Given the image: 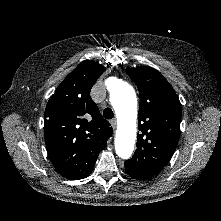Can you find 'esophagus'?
<instances>
[{
    "instance_id": "1",
    "label": "esophagus",
    "mask_w": 221,
    "mask_h": 221,
    "mask_svg": "<svg viewBox=\"0 0 221 221\" xmlns=\"http://www.w3.org/2000/svg\"><path fill=\"white\" fill-rule=\"evenodd\" d=\"M110 124H111V126L113 127V129H115V128H116V125H117L116 119H112V120L110 121Z\"/></svg>"
}]
</instances>
